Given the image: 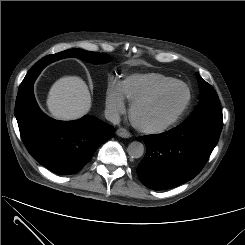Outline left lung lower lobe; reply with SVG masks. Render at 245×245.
<instances>
[{
  "label": "left lung lower lobe",
  "instance_id": "left-lung-lower-lobe-1",
  "mask_svg": "<svg viewBox=\"0 0 245 245\" xmlns=\"http://www.w3.org/2000/svg\"><path fill=\"white\" fill-rule=\"evenodd\" d=\"M221 130L208 123H189L143 136L147 150L137 167L140 181L151 189L164 190L193 179L209 159Z\"/></svg>",
  "mask_w": 245,
  "mask_h": 245
}]
</instances>
